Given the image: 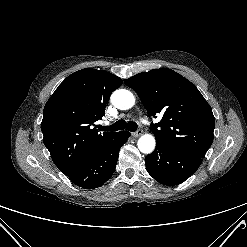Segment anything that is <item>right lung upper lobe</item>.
<instances>
[{"label":"right lung upper lobe","mask_w":247,"mask_h":247,"mask_svg":"<svg viewBox=\"0 0 247 247\" xmlns=\"http://www.w3.org/2000/svg\"><path fill=\"white\" fill-rule=\"evenodd\" d=\"M122 79L109 72L82 69L68 76L47 101L41 130L52 160L66 176L118 132L98 133L111 93Z\"/></svg>","instance_id":"cb5924a9"}]
</instances>
